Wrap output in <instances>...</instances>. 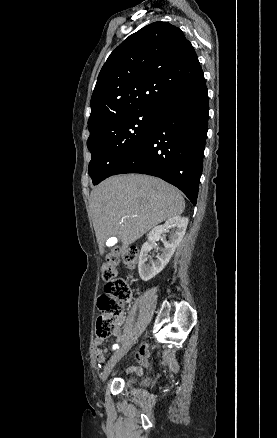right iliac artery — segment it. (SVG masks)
Masks as SVG:
<instances>
[{"label":"right iliac artery","mask_w":277,"mask_h":438,"mask_svg":"<svg viewBox=\"0 0 277 438\" xmlns=\"http://www.w3.org/2000/svg\"><path fill=\"white\" fill-rule=\"evenodd\" d=\"M112 348H113V350H115V349L119 348V345L118 344H114Z\"/></svg>","instance_id":"1"}]
</instances>
